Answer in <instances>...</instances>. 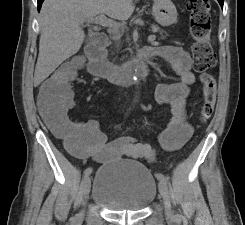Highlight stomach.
I'll return each mask as SVG.
<instances>
[{"instance_id": "0dacf381", "label": "stomach", "mask_w": 245, "mask_h": 225, "mask_svg": "<svg viewBox=\"0 0 245 225\" xmlns=\"http://www.w3.org/2000/svg\"><path fill=\"white\" fill-rule=\"evenodd\" d=\"M152 13L161 26H170L177 21V10L171 0H154Z\"/></svg>"}]
</instances>
